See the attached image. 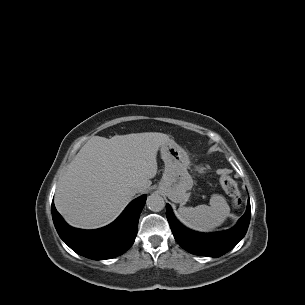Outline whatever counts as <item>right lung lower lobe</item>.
<instances>
[{
  "label": "right lung lower lobe",
  "mask_w": 305,
  "mask_h": 305,
  "mask_svg": "<svg viewBox=\"0 0 305 305\" xmlns=\"http://www.w3.org/2000/svg\"><path fill=\"white\" fill-rule=\"evenodd\" d=\"M147 196L133 200L120 217L109 226L97 230L70 227L52 203V218L61 239L76 253L94 260L110 259L126 252L134 243L138 220Z\"/></svg>",
  "instance_id": "obj_1"
}]
</instances>
